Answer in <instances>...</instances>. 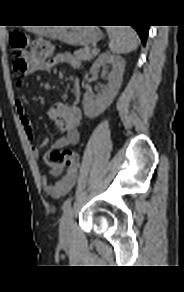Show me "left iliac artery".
<instances>
[{
    "instance_id": "44dca946",
    "label": "left iliac artery",
    "mask_w": 184,
    "mask_h": 292,
    "mask_svg": "<svg viewBox=\"0 0 184 292\" xmlns=\"http://www.w3.org/2000/svg\"><path fill=\"white\" fill-rule=\"evenodd\" d=\"M70 207H71V199H68L64 202L63 209L64 211H67L70 209Z\"/></svg>"
}]
</instances>
